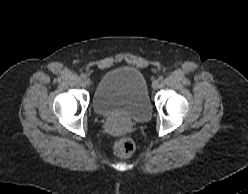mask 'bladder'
<instances>
[{"label": "bladder", "instance_id": "31cf9c89", "mask_svg": "<svg viewBox=\"0 0 248 194\" xmlns=\"http://www.w3.org/2000/svg\"><path fill=\"white\" fill-rule=\"evenodd\" d=\"M93 108L103 117L121 116L133 122L147 121L152 107L144 74L129 66L106 72L95 89Z\"/></svg>", "mask_w": 248, "mask_h": 194}]
</instances>
